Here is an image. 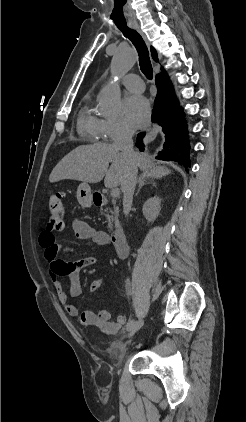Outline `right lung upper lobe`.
I'll return each instance as SVG.
<instances>
[{
	"label": "right lung upper lobe",
	"instance_id": "right-lung-upper-lobe-1",
	"mask_svg": "<svg viewBox=\"0 0 246 422\" xmlns=\"http://www.w3.org/2000/svg\"><path fill=\"white\" fill-rule=\"evenodd\" d=\"M151 53H152V58L154 59V61L157 62L158 61L157 52L153 47H151ZM161 70L164 71L163 68ZM157 76H167V74L164 72V73L158 74Z\"/></svg>",
	"mask_w": 246,
	"mask_h": 422
}]
</instances>
